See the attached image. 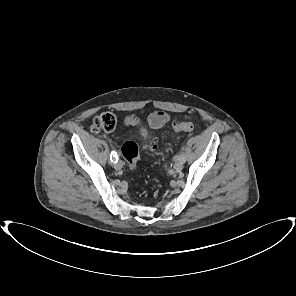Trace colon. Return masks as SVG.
I'll use <instances>...</instances> for the list:
<instances>
[{
	"label": "colon",
	"mask_w": 296,
	"mask_h": 296,
	"mask_svg": "<svg viewBox=\"0 0 296 296\" xmlns=\"http://www.w3.org/2000/svg\"><path fill=\"white\" fill-rule=\"evenodd\" d=\"M116 127V118L111 113H103L96 116L93 120V129L95 131L111 132ZM172 129L175 132H191L195 129L192 122H173ZM153 148V147H152ZM121 154L128 163L130 169H134L139 159L138 146L133 141H127L122 145Z\"/></svg>",
	"instance_id": "obj_1"
}]
</instances>
